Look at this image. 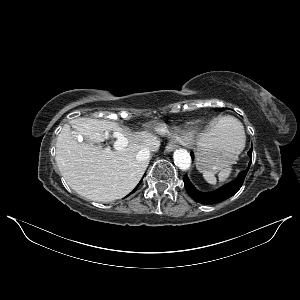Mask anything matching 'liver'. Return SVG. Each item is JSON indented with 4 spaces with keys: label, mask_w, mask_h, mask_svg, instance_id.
Returning <instances> with one entry per match:
<instances>
[{
    "label": "liver",
    "mask_w": 300,
    "mask_h": 300,
    "mask_svg": "<svg viewBox=\"0 0 300 300\" xmlns=\"http://www.w3.org/2000/svg\"><path fill=\"white\" fill-rule=\"evenodd\" d=\"M70 125L93 143L103 142L110 132H118L128 144L123 149L110 150L79 143L72 136ZM70 125H64L56 142L57 166L68 185L79 195L96 202H111L129 194L148 165V161H138L136 155L143 148L151 149L156 137L147 131L130 134L107 120L78 118ZM223 134V127L218 125L202 134L199 142Z\"/></svg>",
    "instance_id": "6515ba94"
}]
</instances>
